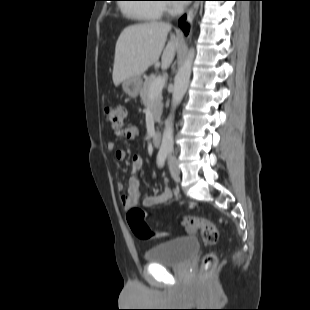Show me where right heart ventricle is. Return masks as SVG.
Masks as SVG:
<instances>
[{
	"mask_svg": "<svg viewBox=\"0 0 310 310\" xmlns=\"http://www.w3.org/2000/svg\"><path fill=\"white\" fill-rule=\"evenodd\" d=\"M150 1V0H140ZM125 12L143 22L154 21L162 14V7L156 4H138L130 7H125Z\"/></svg>",
	"mask_w": 310,
	"mask_h": 310,
	"instance_id": "1",
	"label": "right heart ventricle"
}]
</instances>
